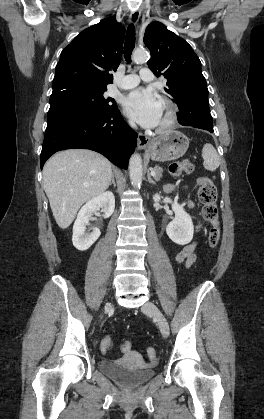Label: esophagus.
Here are the masks:
<instances>
[{
  "instance_id": "esophagus-1",
  "label": "esophagus",
  "mask_w": 264,
  "mask_h": 419,
  "mask_svg": "<svg viewBox=\"0 0 264 419\" xmlns=\"http://www.w3.org/2000/svg\"><path fill=\"white\" fill-rule=\"evenodd\" d=\"M139 18H140V11L139 10H134V11L131 12V14L129 16V23L133 24V25H136L139 21ZM137 140H138V142H137L138 149H140V150L145 149L147 144H148V138L145 135L140 133L138 135Z\"/></svg>"
}]
</instances>
